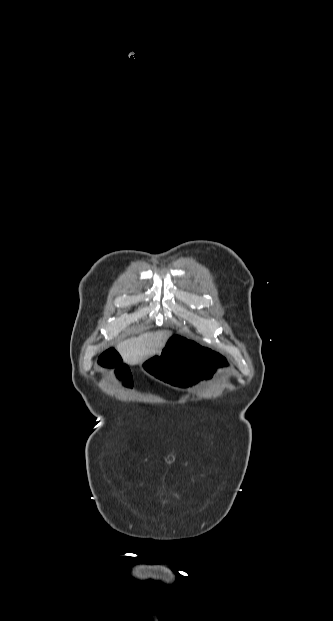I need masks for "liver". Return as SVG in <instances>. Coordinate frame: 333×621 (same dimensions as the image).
Masks as SVG:
<instances>
[{"label":"liver","instance_id":"obj_1","mask_svg":"<svg viewBox=\"0 0 333 621\" xmlns=\"http://www.w3.org/2000/svg\"><path fill=\"white\" fill-rule=\"evenodd\" d=\"M170 335L171 332L167 330L146 332L138 337L120 342L117 345V350L126 364L137 365L158 353Z\"/></svg>","mask_w":333,"mask_h":621}]
</instances>
